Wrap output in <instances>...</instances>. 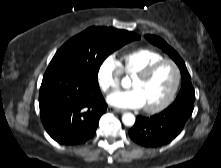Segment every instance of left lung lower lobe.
<instances>
[{"label":"left lung lower lobe","mask_w":221,"mask_h":168,"mask_svg":"<svg viewBox=\"0 0 221 168\" xmlns=\"http://www.w3.org/2000/svg\"><path fill=\"white\" fill-rule=\"evenodd\" d=\"M194 100L195 96H181L159 114L137 116L134 126L129 130L131 139L144 147H160L170 143L191 116Z\"/></svg>","instance_id":"0a47b994"}]
</instances>
